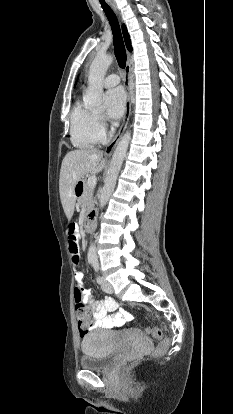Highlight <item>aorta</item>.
Masks as SVG:
<instances>
[{
  "instance_id": "1",
  "label": "aorta",
  "mask_w": 233,
  "mask_h": 414,
  "mask_svg": "<svg viewBox=\"0 0 233 414\" xmlns=\"http://www.w3.org/2000/svg\"><path fill=\"white\" fill-rule=\"evenodd\" d=\"M112 61L113 57L111 55L103 53L97 54L93 60L88 74V87L83 97L84 106L86 108L97 110H100L102 108L103 81ZM130 140L131 132L126 131V133L118 142L117 147L115 148L110 167L107 172V177L105 179V184L101 191V208L106 205L112 192L114 191L117 176L121 169ZM88 260L90 262L97 261L96 248L93 244H91L88 250Z\"/></svg>"
}]
</instances>
